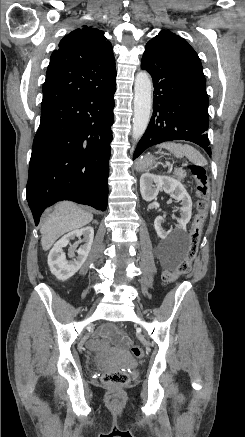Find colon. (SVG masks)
Returning <instances> with one entry per match:
<instances>
[{
    "label": "colon",
    "instance_id": "colon-1",
    "mask_svg": "<svg viewBox=\"0 0 245 437\" xmlns=\"http://www.w3.org/2000/svg\"><path fill=\"white\" fill-rule=\"evenodd\" d=\"M191 173L196 183V195L198 197L197 211L189 232V244L185 257L175 268L168 269L163 273V281L168 285L191 270L193 261L198 253L202 226L206 218L207 200L210 192L208 174L206 169L200 165H194L191 168ZM97 347V344H92L93 349ZM131 353L134 357L140 358L144 355V348L141 345H133ZM102 381L111 386H123L128 383L129 376L122 371H109L102 375Z\"/></svg>",
    "mask_w": 245,
    "mask_h": 437
}]
</instances>
